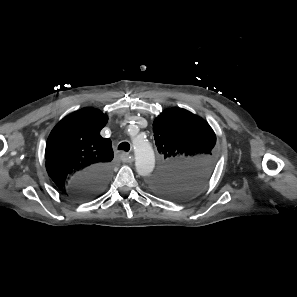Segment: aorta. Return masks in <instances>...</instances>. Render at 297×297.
I'll return each mask as SVG.
<instances>
[{"instance_id":"obj_1","label":"aorta","mask_w":297,"mask_h":297,"mask_svg":"<svg viewBox=\"0 0 297 297\" xmlns=\"http://www.w3.org/2000/svg\"><path fill=\"white\" fill-rule=\"evenodd\" d=\"M135 167L140 176H149L155 166V156L150 143L140 136H133Z\"/></svg>"}]
</instances>
